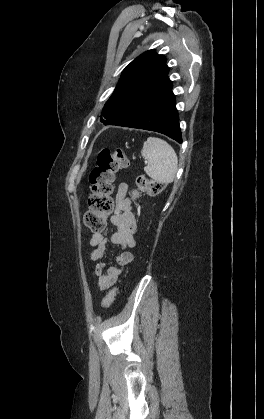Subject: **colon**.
Segmentation results:
<instances>
[{
    "mask_svg": "<svg viewBox=\"0 0 264 419\" xmlns=\"http://www.w3.org/2000/svg\"><path fill=\"white\" fill-rule=\"evenodd\" d=\"M129 160L121 151L102 150L97 157L96 165L89 175L91 194L88 200V211L84 215L85 225L93 232L105 228L106 218L114 210V180L118 170L127 168ZM164 189L163 183L150 180L144 176L136 179V188L131 196L136 199L141 192L158 194ZM116 289H111L103 299V307L111 306L115 299Z\"/></svg>",
    "mask_w": 264,
    "mask_h": 419,
    "instance_id": "1",
    "label": "colon"
}]
</instances>
